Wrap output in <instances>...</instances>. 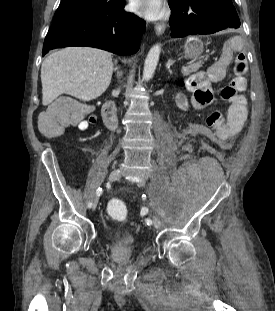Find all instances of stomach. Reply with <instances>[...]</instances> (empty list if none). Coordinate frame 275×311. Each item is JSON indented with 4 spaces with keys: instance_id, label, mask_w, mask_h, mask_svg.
Returning a JSON list of instances; mask_svg holds the SVG:
<instances>
[{
    "instance_id": "1",
    "label": "stomach",
    "mask_w": 275,
    "mask_h": 311,
    "mask_svg": "<svg viewBox=\"0 0 275 311\" xmlns=\"http://www.w3.org/2000/svg\"><path fill=\"white\" fill-rule=\"evenodd\" d=\"M203 52V43L195 38H189L184 46L185 56L188 58H196Z\"/></svg>"
}]
</instances>
